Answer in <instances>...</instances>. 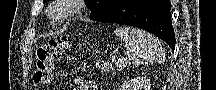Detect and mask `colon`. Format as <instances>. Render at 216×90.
<instances>
[{
  "instance_id": "colon-1",
  "label": "colon",
  "mask_w": 216,
  "mask_h": 90,
  "mask_svg": "<svg viewBox=\"0 0 216 90\" xmlns=\"http://www.w3.org/2000/svg\"><path fill=\"white\" fill-rule=\"evenodd\" d=\"M66 45V38L51 39L36 49V68L33 75V83L36 87H43L50 82L54 60Z\"/></svg>"
}]
</instances>
